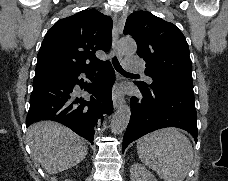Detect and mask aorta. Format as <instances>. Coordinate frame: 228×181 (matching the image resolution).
<instances>
[{
	"label": "aorta",
	"mask_w": 228,
	"mask_h": 181,
	"mask_svg": "<svg viewBox=\"0 0 228 181\" xmlns=\"http://www.w3.org/2000/svg\"><path fill=\"white\" fill-rule=\"evenodd\" d=\"M118 49L123 54H134L137 50V45L132 38H122L119 42ZM131 110L128 105L121 106L115 112L110 128L114 134L122 133L129 123Z\"/></svg>",
	"instance_id": "762f6f07"
}]
</instances>
